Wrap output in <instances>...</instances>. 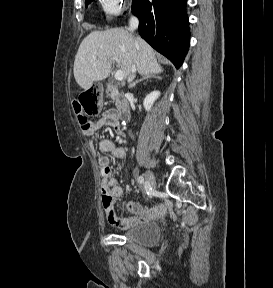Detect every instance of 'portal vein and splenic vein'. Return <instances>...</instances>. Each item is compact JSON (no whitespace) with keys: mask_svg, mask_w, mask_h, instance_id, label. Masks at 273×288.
Returning <instances> with one entry per match:
<instances>
[{"mask_svg":"<svg viewBox=\"0 0 273 288\" xmlns=\"http://www.w3.org/2000/svg\"><path fill=\"white\" fill-rule=\"evenodd\" d=\"M95 59H96V58L94 57V60H95ZM110 60H111V61H116V62L119 63V60H118L117 57H112V58H110ZM114 77H115V79H116L117 81H122V80L124 79V73H123V71H121V70L116 71Z\"/></svg>","mask_w":273,"mask_h":288,"instance_id":"portal-vein-and-splenic-vein-1","label":"portal vein and splenic vein"}]
</instances>
